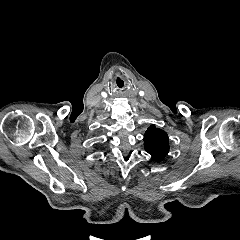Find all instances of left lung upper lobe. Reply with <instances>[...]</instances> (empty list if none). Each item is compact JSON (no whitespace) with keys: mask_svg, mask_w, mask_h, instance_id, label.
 Masks as SVG:
<instances>
[{"mask_svg":"<svg viewBox=\"0 0 240 240\" xmlns=\"http://www.w3.org/2000/svg\"><path fill=\"white\" fill-rule=\"evenodd\" d=\"M144 147L156 162H160L169 152V138L166 132L151 125L144 135Z\"/></svg>","mask_w":240,"mask_h":240,"instance_id":"left-lung-upper-lobe-1","label":"left lung upper lobe"}]
</instances>
